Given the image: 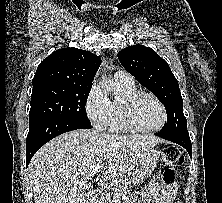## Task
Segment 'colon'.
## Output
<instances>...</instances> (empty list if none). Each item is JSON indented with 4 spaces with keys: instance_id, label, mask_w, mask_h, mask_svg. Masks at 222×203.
I'll return each mask as SVG.
<instances>
[{
    "instance_id": "colon-1",
    "label": "colon",
    "mask_w": 222,
    "mask_h": 203,
    "mask_svg": "<svg viewBox=\"0 0 222 203\" xmlns=\"http://www.w3.org/2000/svg\"><path fill=\"white\" fill-rule=\"evenodd\" d=\"M184 156L175 146H167L162 153V163L164 165L163 181L165 183H174L175 171L183 163Z\"/></svg>"
}]
</instances>
